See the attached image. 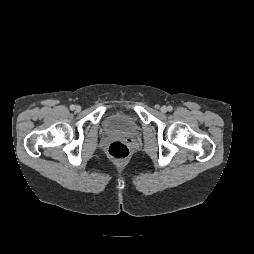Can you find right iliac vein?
Instances as JSON below:
<instances>
[{"label":"right iliac vein","instance_id":"right-iliac-vein-1","mask_svg":"<svg viewBox=\"0 0 254 254\" xmlns=\"http://www.w3.org/2000/svg\"><path fill=\"white\" fill-rule=\"evenodd\" d=\"M75 110L79 112V111L81 110V107H80L79 105H77V106L75 107Z\"/></svg>","mask_w":254,"mask_h":254}]
</instances>
